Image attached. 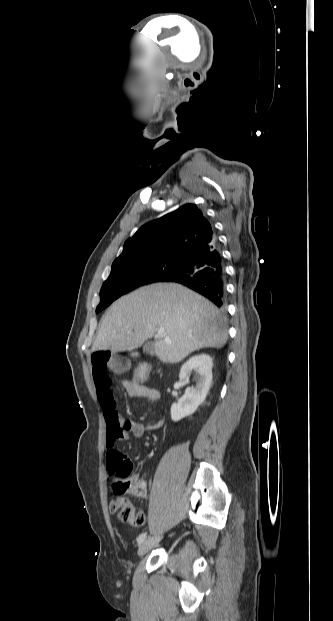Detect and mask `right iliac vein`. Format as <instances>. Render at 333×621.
Returning <instances> with one entry per match:
<instances>
[{"label": "right iliac vein", "mask_w": 333, "mask_h": 621, "mask_svg": "<svg viewBox=\"0 0 333 621\" xmlns=\"http://www.w3.org/2000/svg\"><path fill=\"white\" fill-rule=\"evenodd\" d=\"M160 539H161L160 536H153V537H149L148 539L144 540L138 548V555L139 556L145 555L147 552H149L152 548H154L158 544Z\"/></svg>", "instance_id": "1"}]
</instances>
